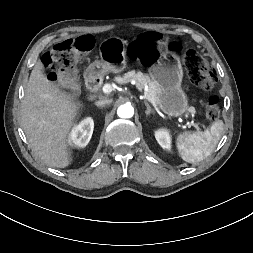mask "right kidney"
Here are the masks:
<instances>
[{
  "label": "right kidney",
  "instance_id": "obj_1",
  "mask_svg": "<svg viewBox=\"0 0 253 253\" xmlns=\"http://www.w3.org/2000/svg\"><path fill=\"white\" fill-rule=\"evenodd\" d=\"M94 122L88 117L82 120L78 125L74 126L70 132L68 142L72 146L85 147L93 134Z\"/></svg>",
  "mask_w": 253,
  "mask_h": 253
}]
</instances>
